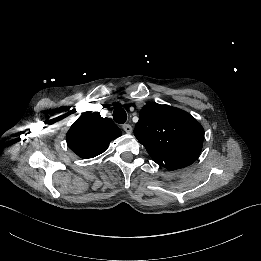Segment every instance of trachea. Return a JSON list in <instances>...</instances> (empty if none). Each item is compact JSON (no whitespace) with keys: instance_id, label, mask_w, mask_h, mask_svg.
I'll return each mask as SVG.
<instances>
[{"instance_id":"obj_1","label":"trachea","mask_w":261,"mask_h":261,"mask_svg":"<svg viewBox=\"0 0 261 261\" xmlns=\"http://www.w3.org/2000/svg\"><path fill=\"white\" fill-rule=\"evenodd\" d=\"M113 119L118 124H123L127 120L126 111L122 107H117L113 111Z\"/></svg>"}]
</instances>
